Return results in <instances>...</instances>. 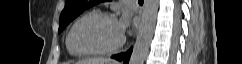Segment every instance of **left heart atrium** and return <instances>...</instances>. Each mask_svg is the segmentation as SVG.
I'll return each instance as SVG.
<instances>
[{
    "mask_svg": "<svg viewBox=\"0 0 242 64\" xmlns=\"http://www.w3.org/2000/svg\"><path fill=\"white\" fill-rule=\"evenodd\" d=\"M117 26L119 31L123 35V33L127 30L129 26V18L126 14H123L119 21H117Z\"/></svg>",
    "mask_w": 242,
    "mask_h": 64,
    "instance_id": "left-heart-atrium-1",
    "label": "left heart atrium"
}]
</instances>
